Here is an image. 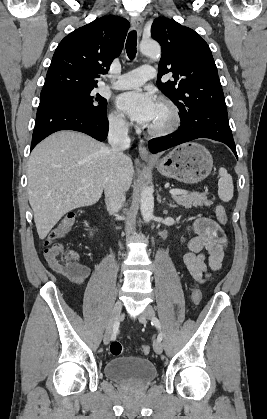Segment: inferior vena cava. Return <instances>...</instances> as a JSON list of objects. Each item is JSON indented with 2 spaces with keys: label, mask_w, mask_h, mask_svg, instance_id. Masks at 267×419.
I'll return each mask as SVG.
<instances>
[{
  "label": "inferior vena cava",
  "mask_w": 267,
  "mask_h": 419,
  "mask_svg": "<svg viewBox=\"0 0 267 419\" xmlns=\"http://www.w3.org/2000/svg\"><path fill=\"white\" fill-rule=\"evenodd\" d=\"M108 142L109 149L108 165L109 171L105 180L104 192L107 210L115 214L125 202V191L127 184L120 173V161L123 158V151L129 148L130 138L128 137V125L122 119L110 122Z\"/></svg>",
  "instance_id": "602c4592"
}]
</instances>
